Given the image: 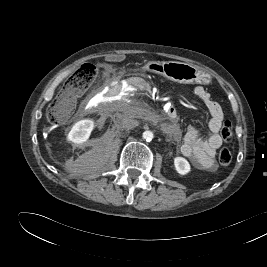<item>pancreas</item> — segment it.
<instances>
[{
    "instance_id": "pancreas-1",
    "label": "pancreas",
    "mask_w": 267,
    "mask_h": 267,
    "mask_svg": "<svg viewBox=\"0 0 267 267\" xmlns=\"http://www.w3.org/2000/svg\"><path fill=\"white\" fill-rule=\"evenodd\" d=\"M134 84H135V86H136L137 88L140 87V84H138V83H134Z\"/></svg>"
}]
</instances>
